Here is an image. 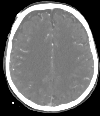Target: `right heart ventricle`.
Listing matches in <instances>:
<instances>
[{"instance_id": "right-heart-ventricle-1", "label": "right heart ventricle", "mask_w": 100, "mask_h": 116, "mask_svg": "<svg viewBox=\"0 0 100 116\" xmlns=\"http://www.w3.org/2000/svg\"><path fill=\"white\" fill-rule=\"evenodd\" d=\"M38 31H39V32H41V31L43 32V27H42V26H39V27H38Z\"/></svg>"}]
</instances>
